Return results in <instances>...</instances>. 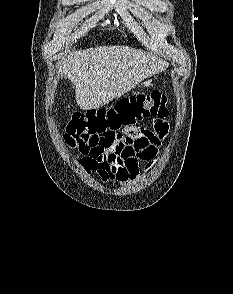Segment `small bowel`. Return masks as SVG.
I'll list each match as a JSON object with an SVG mask.
<instances>
[{
    "mask_svg": "<svg viewBox=\"0 0 233 294\" xmlns=\"http://www.w3.org/2000/svg\"><path fill=\"white\" fill-rule=\"evenodd\" d=\"M155 130L148 129L154 125ZM131 131L125 132V137H132L133 142L123 149H105L96 157L83 156L79 163L88 174H96L103 183H124L137 178L139 161H151L155 158L161 140L168 133V125L162 122V117H143L137 126H131ZM110 154H119L110 157Z\"/></svg>",
    "mask_w": 233,
    "mask_h": 294,
    "instance_id": "small-bowel-1",
    "label": "small bowel"
}]
</instances>
